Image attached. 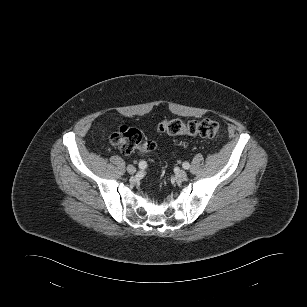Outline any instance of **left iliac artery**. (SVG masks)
Returning a JSON list of instances; mask_svg holds the SVG:
<instances>
[{"label": "left iliac artery", "mask_w": 307, "mask_h": 307, "mask_svg": "<svg viewBox=\"0 0 307 307\" xmlns=\"http://www.w3.org/2000/svg\"><path fill=\"white\" fill-rule=\"evenodd\" d=\"M182 166H183L184 169L190 168V164L188 162H184Z\"/></svg>", "instance_id": "left-iliac-artery-1"}]
</instances>
